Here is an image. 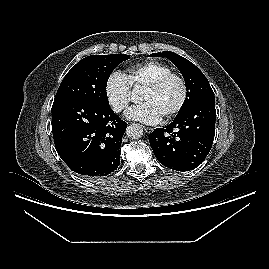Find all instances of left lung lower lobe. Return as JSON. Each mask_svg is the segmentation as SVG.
<instances>
[{"instance_id": "obj_1", "label": "left lung lower lobe", "mask_w": 269, "mask_h": 269, "mask_svg": "<svg viewBox=\"0 0 269 269\" xmlns=\"http://www.w3.org/2000/svg\"><path fill=\"white\" fill-rule=\"evenodd\" d=\"M215 97H208L164 128L149 135L152 150L161 164L177 171H190L208 155L215 136Z\"/></svg>"}]
</instances>
